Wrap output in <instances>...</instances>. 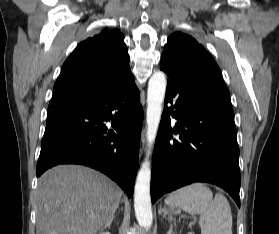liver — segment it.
I'll return each mask as SVG.
<instances>
[{"label":"liver","mask_w":279,"mask_h":234,"mask_svg":"<svg viewBox=\"0 0 279 234\" xmlns=\"http://www.w3.org/2000/svg\"><path fill=\"white\" fill-rule=\"evenodd\" d=\"M121 189L87 167L45 172L36 191V234H96L115 213Z\"/></svg>","instance_id":"obj_1"}]
</instances>
